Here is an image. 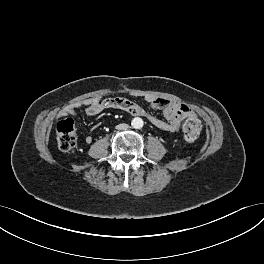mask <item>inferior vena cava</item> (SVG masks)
<instances>
[{
    "label": "inferior vena cava",
    "mask_w": 264,
    "mask_h": 264,
    "mask_svg": "<svg viewBox=\"0 0 264 264\" xmlns=\"http://www.w3.org/2000/svg\"><path fill=\"white\" fill-rule=\"evenodd\" d=\"M128 128H129V125L128 124H125V123L119 124V125L116 126V129L117 130H126Z\"/></svg>",
    "instance_id": "obj_1"
}]
</instances>
